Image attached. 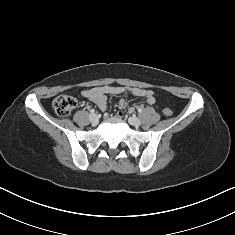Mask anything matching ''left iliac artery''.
I'll return each instance as SVG.
<instances>
[{"mask_svg":"<svg viewBox=\"0 0 235 235\" xmlns=\"http://www.w3.org/2000/svg\"><path fill=\"white\" fill-rule=\"evenodd\" d=\"M138 112H139V113H141V112H142V109H141V108H139V109H138Z\"/></svg>","mask_w":235,"mask_h":235,"instance_id":"1","label":"left iliac artery"}]
</instances>
